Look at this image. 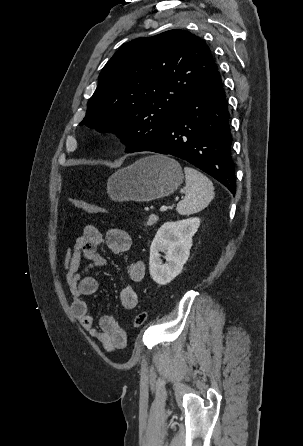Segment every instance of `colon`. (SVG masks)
<instances>
[{
    "label": "colon",
    "mask_w": 303,
    "mask_h": 446,
    "mask_svg": "<svg viewBox=\"0 0 303 446\" xmlns=\"http://www.w3.org/2000/svg\"><path fill=\"white\" fill-rule=\"evenodd\" d=\"M69 201L72 206H74L75 208H77L81 211H84L88 214L97 215V214H105L106 213L105 209H103L93 203L87 202L83 199H80V198L73 197V198H70ZM146 320H147V313L144 311L139 312L135 316L134 326L139 328L144 325Z\"/></svg>",
    "instance_id": "5ec220e1"
}]
</instances>
